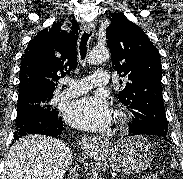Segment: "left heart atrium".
<instances>
[{
	"label": "left heart atrium",
	"mask_w": 183,
	"mask_h": 179,
	"mask_svg": "<svg viewBox=\"0 0 183 179\" xmlns=\"http://www.w3.org/2000/svg\"><path fill=\"white\" fill-rule=\"evenodd\" d=\"M112 114L102 96H85L70 103L66 110L67 121L80 129L98 132L108 127Z\"/></svg>",
	"instance_id": "39dd6f15"
}]
</instances>
